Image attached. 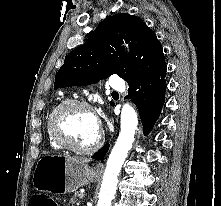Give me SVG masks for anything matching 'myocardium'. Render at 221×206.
Segmentation results:
<instances>
[{
	"label": "myocardium",
	"instance_id": "f54148a6",
	"mask_svg": "<svg viewBox=\"0 0 221 206\" xmlns=\"http://www.w3.org/2000/svg\"><path fill=\"white\" fill-rule=\"evenodd\" d=\"M71 107H81L91 111L95 116L96 112L94 107L85 100L80 99H68L60 103L56 106L50 114L49 118V130L54 138V140L63 148L82 155H89L94 153L102 144L103 135L101 130H99V134L94 143L88 147H77L74 145L70 139L60 130L59 128V119L62 113Z\"/></svg>",
	"mask_w": 221,
	"mask_h": 206
}]
</instances>
